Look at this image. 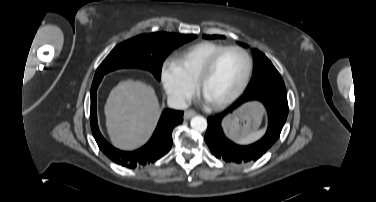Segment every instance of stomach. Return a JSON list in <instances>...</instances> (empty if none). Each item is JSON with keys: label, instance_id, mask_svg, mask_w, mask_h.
I'll return each mask as SVG.
<instances>
[{"label": "stomach", "instance_id": "0dacf381", "mask_svg": "<svg viewBox=\"0 0 376 202\" xmlns=\"http://www.w3.org/2000/svg\"><path fill=\"white\" fill-rule=\"evenodd\" d=\"M262 111L257 105H249L234 111L225 121L228 135L233 139H242L254 133L260 126Z\"/></svg>", "mask_w": 376, "mask_h": 202}]
</instances>
